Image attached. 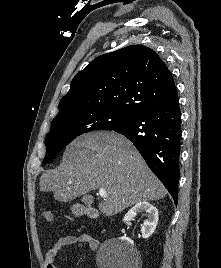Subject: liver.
<instances>
[{
    "label": "liver",
    "mask_w": 221,
    "mask_h": 268,
    "mask_svg": "<svg viewBox=\"0 0 221 268\" xmlns=\"http://www.w3.org/2000/svg\"><path fill=\"white\" fill-rule=\"evenodd\" d=\"M101 188L107 197L99 210L106 216L143 201L162 199L167 193L134 145L115 132L78 137L66 148L59 168L40 177V190L53 192L59 202Z\"/></svg>",
    "instance_id": "1"
}]
</instances>
